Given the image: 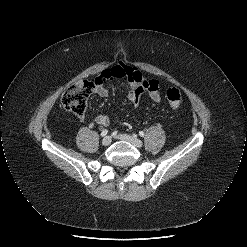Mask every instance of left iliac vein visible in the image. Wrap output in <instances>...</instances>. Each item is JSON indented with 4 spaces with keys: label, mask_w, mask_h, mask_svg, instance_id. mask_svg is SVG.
I'll return each mask as SVG.
<instances>
[{
    "label": "left iliac vein",
    "mask_w": 247,
    "mask_h": 247,
    "mask_svg": "<svg viewBox=\"0 0 247 247\" xmlns=\"http://www.w3.org/2000/svg\"><path fill=\"white\" fill-rule=\"evenodd\" d=\"M117 138L122 140V141L129 142L138 148L143 146V142L141 140H139L138 138H136L134 136H130L128 134H120Z\"/></svg>",
    "instance_id": "1"
}]
</instances>
